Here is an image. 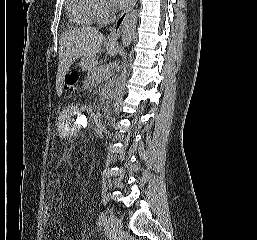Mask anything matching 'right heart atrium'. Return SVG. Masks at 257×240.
Instances as JSON below:
<instances>
[{"instance_id": "obj_1", "label": "right heart atrium", "mask_w": 257, "mask_h": 240, "mask_svg": "<svg viewBox=\"0 0 257 240\" xmlns=\"http://www.w3.org/2000/svg\"><path fill=\"white\" fill-rule=\"evenodd\" d=\"M96 15L99 22H106L111 16V8L104 0H98Z\"/></svg>"}]
</instances>
